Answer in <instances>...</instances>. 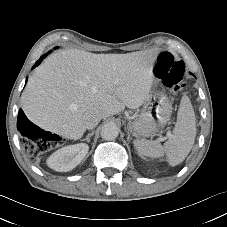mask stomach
Masks as SVG:
<instances>
[{
    "label": "stomach",
    "mask_w": 227,
    "mask_h": 227,
    "mask_svg": "<svg viewBox=\"0 0 227 227\" xmlns=\"http://www.w3.org/2000/svg\"><path fill=\"white\" fill-rule=\"evenodd\" d=\"M171 114L169 99L162 91L154 88L143 103L140 113L129 123V128L136 136L150 137L165 126Z\"/></svg>",
    "instance_id": "0dacf381"
}]
</instances>
